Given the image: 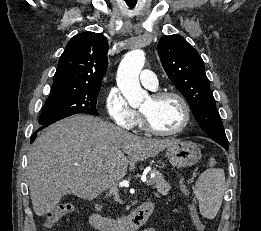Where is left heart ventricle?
Returning <instances> with one entry per match:
<instances>
[{
    "label": "left heart ventricle",
    "instance_id": "obj_1",
    "mask_svg": "<svg viewBox=\"0 0 261 231\" xmlns=\"http://www.w3.org/2000/svg\"><path fill=\"white\" fill-rule=\"evenodd\" d=\"M153 125L162 131H172L183 122V109L180 102L172 97L154 101L149 97L141 106Z\"/></svg>",
    "mask_w": 261,
    "mask_h": 231
}]
</instances>
